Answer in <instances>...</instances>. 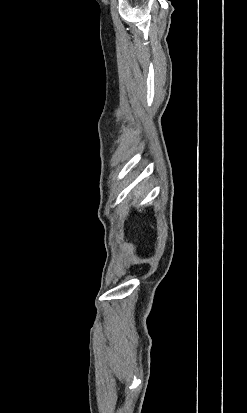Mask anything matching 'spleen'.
<instances>
[{
    "mask_svg": "<svg viewBox=\"0 0 247 413\" xmlns=\"http://www.w3.org/2000/svg\"><path fill=\"white\" fill-rule=\"evenodd\" d=\"M136 194H140V190H137Z\"/></svg>",
    "mask_w": 247,
    "mask_h": 413,
    "instance_id": "3e777b00",
    "label": "spleen"
}]
</instances>
